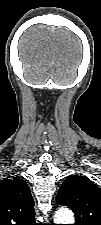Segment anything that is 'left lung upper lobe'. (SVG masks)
<instances>
[{
    "label": "left lung upper lobe",
    "instance_id": "5c2ea615",
    "mask_svg": "<svg viewBox=\"0 0 101 225\" xmlns=\"http://www.w3.org/2000/svg\"><path fill=\"white\" fill-rule=\"evenodd\" d=\"M56 200L74 212V225H101V191L89 179L82 176L67 178Z\"/></svg>",
    "mask_w": 101,
    "mask_h": 225
}]
</instances>
